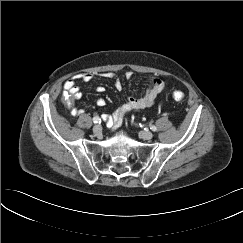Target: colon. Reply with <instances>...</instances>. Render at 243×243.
<instances>
[{
  "label": "colon",
  "mask_w": 243,
  "mask_h": 243,
  "mask_svg": "<svg viewBox=\"0 0 243 243\" xmlns=\"http://www.w3.org/2000/svg\"><path fill=\"white\" fill-rule=\"evenodd\" d=\"M172 95L176 101H182L184 99V93L180 90H175ZM65 99L68 104H70L72 102L71 97L68 95L65 96Z\"/></svg>",
  "instance_id": "5ec220e1"
}]
</instances>
